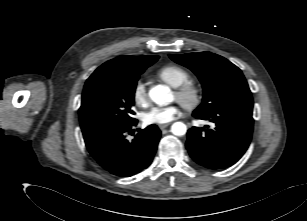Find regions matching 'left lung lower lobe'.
Returning <instances> with one entry per match:
<instances>
[{
  "label": "left lung lower lobe",
  "instance_id": "obj_1",
  "mask_svg": "<svg viewBox=\"0 0 307 221\" xmlns=\"http://www.w3.org/2000/svg\"><path fill=\"white\" fill-rule=\"evenodd\" d=\"M193 116L214 123L213 128L193 127L187 132L186 148L195 162L209 169H225L244 155L252 137V109L226 108L210 115L193 112Z\"/></svg>",
  "mask_w": 307,
  "mask_h": 221
}]
</instances>
